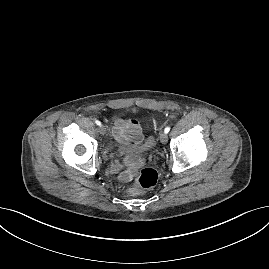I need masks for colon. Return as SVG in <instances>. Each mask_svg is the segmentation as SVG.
I'll list each match as a JSON object with an SVG mask.
<instances>
[{
	"mask_svg": "<svg viewBox=\"0 0 269 269\" xmlns=\"http://www.w3.org/2000/svg\"><path fill=\"white\" fill-rule=\"evenodd\" d=\"M158 180V173L152 168L142 169L136 177L134 186L130 189L131 192H140L155 186Z\"/></svg>",
	"mask_w": 269,
	"mask_h": 269,
	"instance_id": "5ec220e1",
	"label": "colon"
}]
</instances>
